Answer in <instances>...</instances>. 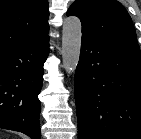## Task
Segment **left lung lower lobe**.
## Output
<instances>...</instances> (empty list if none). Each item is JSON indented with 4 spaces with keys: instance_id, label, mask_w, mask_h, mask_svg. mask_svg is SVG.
Returning <instances> with one entry per match:
<instances>
[{
    "instance_id": "left-lung-lower-lobe-1",
    "label": "left lung lower lobe",
    "mask_w": 141,
    "mask_h": 139,
    "mask_svg": "<svg viewBox=\"0 0 141 139\" xmlns=\"http://www.w3.org/2000/svg\"><path fill=\"white\" fill-rule=\"evenodd\" d=\"M79 139H141V52L82 34L75 72Z\"/></svg>"
}]
</instances>
